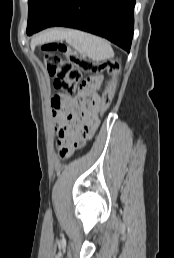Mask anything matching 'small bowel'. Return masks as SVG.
Wrapping results in <instances>:
<instances>
[{
  "label": "small bowel",
  "mask_w": 174,
  "mask_h": 258,
  "mask_svg": "<svg viewBox=\"0 0 174 258\" xmlns=\"http://www.w3.org/2000/svg\"><path fill=\"white\" fill-rule=\"evenodd\" d=\"M102 80V75L90 77L83 84L77 100L64 94L51 99L54 128L62 158L69 157L76 146H83L98 128L100 121H97V116L102 107V96L96 88ZM86 96L89 98V109L84 102Z\"/></svg>",
  "instance_id": "1"
}]
</instances>
